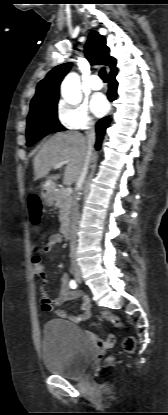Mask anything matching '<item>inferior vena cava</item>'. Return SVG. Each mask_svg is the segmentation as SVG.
Wrapping results in <instances>:
<instances>
[{
    "label": "inferior vena cava",
    "instance_id": "1",
    "mask_svg": "<svg viewBox=\"0 0 168 415\" xmlns=\"http://www.w3.org/2000/svg\"><path fill=\"white\" fill-rule=\"evenodd\" d=\"M95 138H96V134H95L94 124L91 123L90 126L88 127V131L86 132V145H87L88 156L85 160L83 169L76 181L77 191L75 192L74 198L72 201V213H71V223H70V257H71V265H72V268L74 269L78 268L77 261H76L77 225H78V220L80 216L78 200L80 197V190L82 188V184L84 183L86 175L88 173V168H89V163H90L89 157L93 153Z\"/></svg>",
    "mask_w": 168,
    "mask_h": 415
}]
</instances>
